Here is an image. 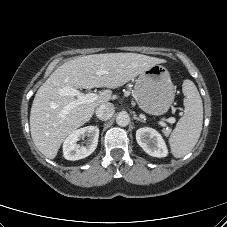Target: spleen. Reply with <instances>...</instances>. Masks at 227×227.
<instances>
[{
	"instance_id": "3e777b00",
	"label": "spleen",
	"mask_w": 227,
	"mask_h": 227,
	"mask_svg": "<svg viewBox=\"0 0 227 227\" xmlns=\"http://www.w3.org/2000/svg\"><path fill=\"white\" fill-rule=\"evenodd\" d=\"M184 115L170 135L169 145L175 158L188 154L198 142L203 124V103L197 87L191 80L182 84Z\"/></svg>"
}]
</instances>
